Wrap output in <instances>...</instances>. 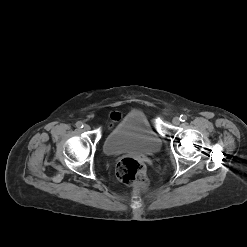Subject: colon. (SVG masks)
<instances>
[{
  "label": "colon",
  "mask_w": 247,
  "mask_h": 247,
  "mask_svg": "<svg viewBox=\"0 0 247 247\" xmlns=\"http://www.w3.org/2000/svg\"><path fill=\"white\" fill-rule=\"evenodd\" d=\"M116 175L123 183L139 188H145L148 183L145 165L137 158L126 157L120 160L116 167Z\"/></svg>",
  "instance_id": "colon-1"
}]
</instances>
